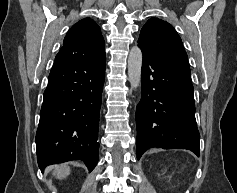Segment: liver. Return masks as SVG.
<instances>
[{
  "instance_id": "obj_1",
  "label": "liver",
  "mask_w": 237,
  "mask_h": 193,
  "mask_svg": "<svg viewBox=\"0 0 237 193\" xmlns=\"http://www.w3.org/2000/svg\"><path fill=\"white\" fill-rule=\"evenodd\" d=\"M49 169L54 170V174L58 179L65 178L70 173V168L66 165L52 166Z\"/></svg>"
}]
</instances>
